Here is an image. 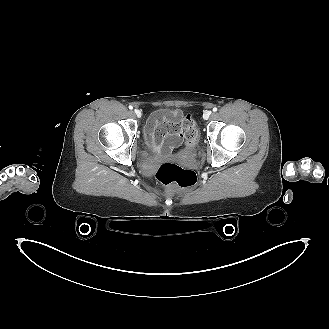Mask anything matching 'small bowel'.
Listing matches in <instances>:
<instances>
[{
	"label": "small bowel",
	"mask_w": 329,
	"mask_h": 329,
	"mask_svg": "<svg viewBox=\"0 0 329 329\" xmlns=\"http://www.w3.org/2000/svg\"><path fill=\"white\" fill-rule=\"evenodd\" d=\"M183 121L179 111L154 112L144 129L148 144L157 153L171 154L183 142Z\"/></svg>",
	"instance_id": "c3829d8e"
}]
</instances>
